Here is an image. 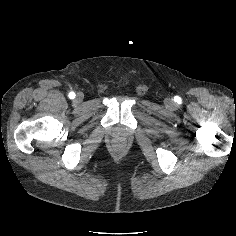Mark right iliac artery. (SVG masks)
Segmentation results:
<instances>
[{
	"instance_id": "82829eb1",
	"label": "right iliac artery",
	"mask_w": 236,
	"mask_h": 236,
	"mask_svg": "<svg viewBox=\"0 0 236 236\" xmlns=\"http://www.w3.org/2000/svg\"><path fill=\"white\" fill-rule=\"evenodd\" d=\"M68 96H69L70 99H74L75 98V93L74 92H70Z\"/></svg>"
}]
</instances>
